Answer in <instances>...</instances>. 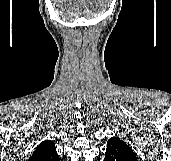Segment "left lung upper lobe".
<instances>
[{
  "mask_svg": "<svg viewBox=\"0 0 171 161\" xmlns=\"http://www.w3.org/2000/svg\"><path fill=\"white\" fill-rule=\"evenodd\" d=\"M104 161H137V157L124 141L112 137L107 141Z\"/></svg>",
  "mask_w": 171,
  "mask_h": 161,
  "instance_id": "1",
  "label": "left lung upper lobe"
}]
</instances>
